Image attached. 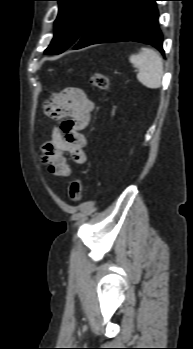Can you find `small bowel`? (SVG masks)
Listing matches in <instances>:
<instances>
[{
  "label": "small bowel",
  "mask_w": 193,
  "mask_h": 349,
  "mask_svg": "<svg viewBox=\"0 0 193 349\" xmlns=\"http://www.w3.org/2000/svg\"><path fill=\"white\" fill-rule=\"evenodd\" d=\"M93 101L79 88H67L60 95L59 104L49 109L50 116L60 123L51 129V138L42 147V159L50 174L66 177L71 168L66 155L76 164L87 161V139L82 131L89 125Z\"/></svg>",
  "instance_id": "c3829d8e"
}]
</instances>
